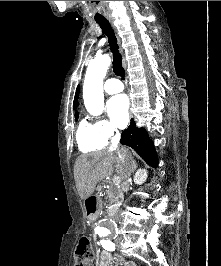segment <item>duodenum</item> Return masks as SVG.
I'll list each match as a JSON object with an SVG mask.
<instances>
[{
	"label": "duodenum",
	"instance_id": "duodenum-1",
	"mask_svg": "<svg viewBox=\"0 0 221 266\" xmlns=\"http://www.w3.org/2000/svg\"><path fill=\"white\" fill-rule=\"evenodd\" d=\"M102 191H91V194L87 195L85 200L86 210L88 218L92 219V222H95V219L99 218L97 213L101 212V198ZM114 211H107V216H113Z\"/></svg>",
	"mask_w": 221,
	"mask_h": 266
}]
</instances>
